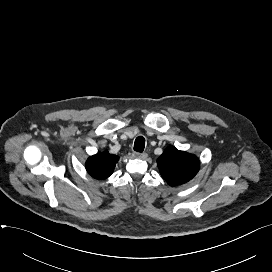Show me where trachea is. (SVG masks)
I'll return each mask as SVG.
<instances>
[{"instance_id": "1", "label": "trachea", "mask_w": 272, "mask_h": 272, "mask_svg": "<svg viewBox=\"0 0 272 272\" xmlns=\"http://www.w3.org/2000/svg\"><path fill=\"white\" fill-rule=\"evenodd\" d=\"M144 147H145V138L142 136L137 137L134 142V150L137 152H143Z\"/></svg>"}]
</instances>
